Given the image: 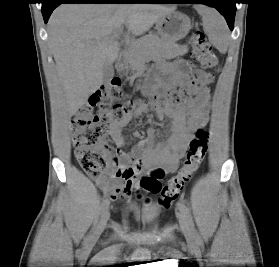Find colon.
Segmentation results:
<instances>
[{"mask_svg": "<svg viewBox=\"0 0 279 267\" xmlns=\"http://www.w3.org/2000/svg\"><path fill=\"white\" fill-rule=\"evenodd\" d=\"M193 47L191 58L204 69L218 68V58L204 33L196 29L190 35ZM212 80V75L202 70L193 74L192 87L171 91L165 97L162 93L153 94V98L162 104L178 105L190 100ZM123 98L122 86L119 79L114 78L102 86L75 113L72 123L74 126L75 156L82 169L93 179H100L103 174L110 173L117 178L128 179L137 174L139 166H126L116 163L111 166L109 159L116 155L112 153L107 138L110 125L121 121L129 112L134 110L137 102ZM209 132L201 127L189 144L185 161L178 173L165 185L160 182L162 173L153 169L140 180V187L148 193L160 194V203L169 207L179 197L185 184L199 168L208 150Z\"/></svg>", "mask_w": 279, "mask_h": 267, "instance_id": "5ec220e1", "label": "colon"}]
</instances>
